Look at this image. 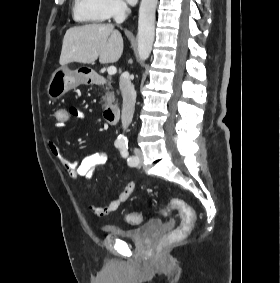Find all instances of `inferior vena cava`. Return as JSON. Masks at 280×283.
<instances>
[{"label": "inferior vena cava", "instance_id": "602c4592", "mask_svg": "<svg viewBox=\"0 0 280 283\" xmlns=\"http://www.w3.org/2000/svg\"><path fill=\"white\" fill-rule=\"evenodd\" d=\"M125 9L129 11L127 6H125ZM119 87L123 97L121 122L123 129L126 130L133 119L136 102V91L131 83L129 75L127 74H122L120 76Z\"/></svg>", "mask_w": 280, "mask_h": 283}]
</instances>
